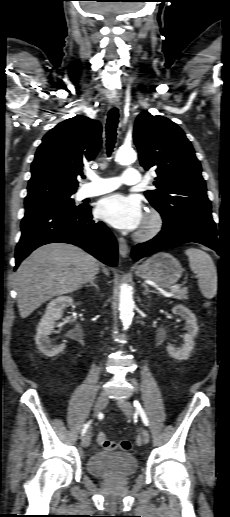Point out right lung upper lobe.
Segmentation results:
<instances>
[{
    "instance_id": "1",
    "label": "right lung upper lobe",
    "mask_w": 230,
    "mask_h": 517,
    "mask_svg": "<svg viewBox=\"0 0 230 517\" xmlns=\"http://www.w3.org/2000/svg\"><path fill=\"white\" fill-rule=\"evenodd\" d=\"M101 132L99 121L81 115L50 130L32 162L25 202L75 193L76 177L101 147Z\"/></svg>"
}]
</instances>
